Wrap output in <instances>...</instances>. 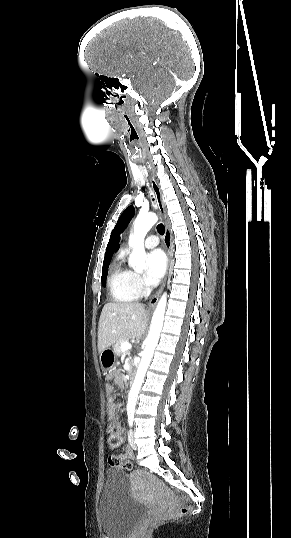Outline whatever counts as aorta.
Segmentation results:
<instances>
[{
    "instance_id": "762f6f07",
    "label": "aorta",
    "mask_w": 291,
    "mask_h": 538,
    "mask_svg": "<svg viewBox=\"0 0 291 538\" xmlns=\"http://www.w3.org/2000/svg\"><path fill=\"white\" fill-rule=\"evenodd\" d=\"M158 218L154 213L139 214L134 222V231L129 238V243L133 246L129 264L137 271L145 268L146 253L144 239L148 231L157 222ZM167 297L163 294L154 311L148 336L144 341V350L137 369V373L130 389L127 402V413L134 414L138 394L143 383L146 371L152 359L155 347L158 343L160 332L163 326Z\"/></svg>"
}]
</instances>
